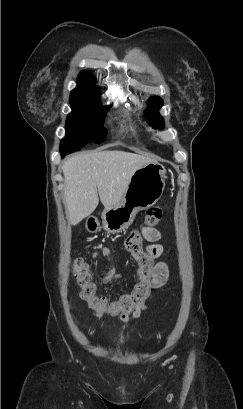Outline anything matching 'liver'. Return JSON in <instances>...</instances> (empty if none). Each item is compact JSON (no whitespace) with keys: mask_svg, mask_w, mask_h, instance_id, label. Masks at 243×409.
Here are the masks:
<instances>
[{"mask_svg":"<svg viewBox=\"0 0 243 409\" xmlns=\"http://www.w3.org/2000/svg\"><path fill=\"white\" fill-rule=\"evenodd\" d=\"M155 162L149 157L124 151H92L67 159L62 165L68 223L76 225L98 206L118 204L134 172ZM99 194V197H98Z\"/></svg>","mask_w":243,"mask_h":409,"instance_id":"6515ba94","label":"liver"}]
</instances>
